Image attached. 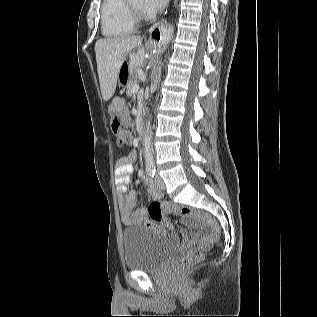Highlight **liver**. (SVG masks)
I'll return each instance as SVG.
<instances>
[{
  "mask_svg": "<svg viewBox=\"0 0 317 317\" xmlns=\"http://www.w3.org/2000/svg\"><path fill=\"white\" fill-rule=\"evenodd\" d=\"M140 36H121L116 38L99 39L95 43L97 71L103 100L108 101L115 93L119 70L127 54L134 48L140 47ZM138 64L143 57L138 54Z\"/></svg>",
  "mask_w": 317,
  "mask_h": 317,
  "instance_id": "obj_1",
  "label": "liver"
}]
</instances>
